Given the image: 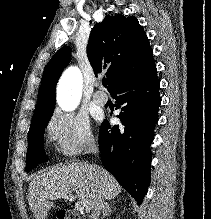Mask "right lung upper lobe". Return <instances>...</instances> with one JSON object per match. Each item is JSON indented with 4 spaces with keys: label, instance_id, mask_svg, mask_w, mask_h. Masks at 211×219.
I'll return each mask as SVG.
<instances>
[{
    "label": "right lung upper lobe",
    "instance_id": "right-lung-upper-lobe-1",
    "mask_svg": "<svg viewBox=\"0 0 211 219\" xmlns=\"http://www.w3.org/2000/svg\"><path fill=\"white\" fill-rule=\"evenodd\" d=\"M69 47L61 48L47 64L33 117L53 112L57 81L71 59ZM87 56L95 75L106 72L110 92L122 78L138 71L153 59L148 38L136 17L107 15L91 31Z\"/></svg>",
    "mask_w": 211,
    "mask_h": 219
}]
</instances>
